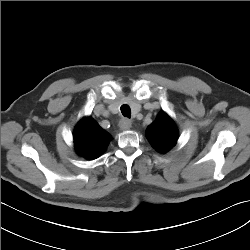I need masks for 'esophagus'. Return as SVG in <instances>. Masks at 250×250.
<instances>
[{"label": "esophagus", "instance_id": "esophagus-1", "mask_svg": "<svg viewBox=\"0 0 250 250\" xmlns=\"http://www.w3.org/2000/svg\"><path fill=\"white\" fill-rule=\"evenodd\" d=\"M131 126H132V121L128 118H122L119 122V127L123 131L129 130Z\"/></svg>", "mask_w": 250, "mask_h": 250}]
</instances>
